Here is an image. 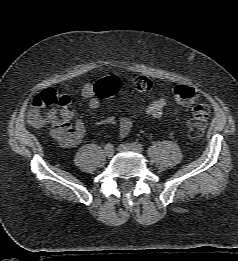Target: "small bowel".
<instances>
[{"instance_id":"obj_1","label":"small bowel","mask_w":238,"mask_h":261,"mask_svg":"<svg viewBox=\"0 0 238 261\" xmlns=\"http://www.w3.org/2000/svg\"><path fill=\"white\" fill-rule=\"evenodd\" d=\"M83 98L88 100L92 109H98L101 105L100 96L97 94L95 84L86 83L81 89ZM166 97H159L151 101L145 109V115L153 118H160L166 106ZM71 112L66 120L60 119L57 115L50 118L52 123V135L64 147L72 148L80 144L86 134V125L82 120H76L74 124L70 122ZM98 126H117L118 136L124 138L130 132L133 126V119L123 117L116 119L109 117L96 123Z\"/></svg>"}]
</instances>
